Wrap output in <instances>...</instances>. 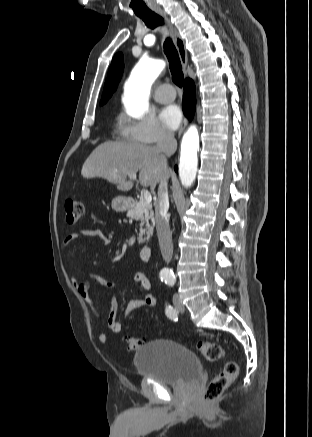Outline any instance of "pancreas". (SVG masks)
Instances as JSON below:
<instances>
[{"label":"pancreas","instance_id":"1","mask_svg":"<svg viewBox=\"0 0 312 437\" xmlns=\"http://www.w3.org/2000/svg\"><path fill=\"white\" fill-rule=\"evenodd\" d=\"M127 217L136 221H140V233L138 242L144 243L153 234L154 227V212L153 206L147 203L145 200L140 199L130 210L127 212ZM146 237L143 239V235Z\"/></svg>","mask_w":312,"mask_h":437}]
</instances>
